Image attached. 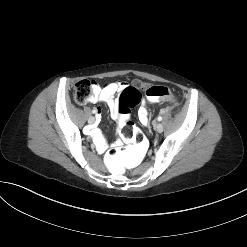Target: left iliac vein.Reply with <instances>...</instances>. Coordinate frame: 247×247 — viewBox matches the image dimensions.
<instances>
[{"label":"left iliac vein","mask_w":247,"mask_h":247,"mask_svg":"<svg viewBox=\"0 0 247 247\" xmlns=\"http://www.w3.org/2000/svg\"><path fill=\"white\" fill-rule=\"evenodd\" d=\"M154 129H155L157 132L161 133V132L163 131V125L160 124V123L155 124Z\"/></svg>","instance_id":"1"}]
</instances>
